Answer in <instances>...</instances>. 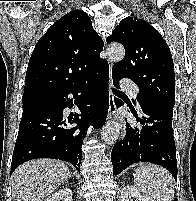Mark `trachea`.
Wrapping results in <instances>:
<instances>
[{"label": "trachea", "mask_w": 196, "mask_h": 201, "mask_svg": "<svg viewBox=\"0 0 196 201\" xmlns=\"http://www.w3.org/2000/svg\"><path fill=\"white\" fill-rule=\"evenodd\" d=\"M112 91H113L115 94L122 93V92H120V91H118V90H116V89H112Z\"/></svg>", "instance_id": "3493384b"}]
</instances>
